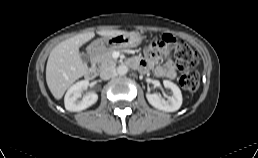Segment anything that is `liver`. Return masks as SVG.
Instances as JSON below:
<instances>
[{"instance_id": "liver-1", "label": "liver", "mask_w": 258, "mask_h": 158, "mask_svg": "<svg viewBox=\"0 0 258 158\" xmlns=\"http://www.w3.org/2000/svg\"><path fill=\"white\" fill-rule=\"evenodd\" d=\"M126 33L121 30L99 31L103 37ZM95 36L94 32L82 33L56 45L48 57L46 82L55 99L59 100L65 91L88 71V66L80 57L79 48Z\"/></svg>"}]
</instances>
